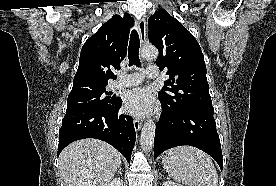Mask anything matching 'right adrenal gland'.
I'll return each mask as SVG.
<instances>
[{"mask_svg":"<svg viewBox=\"0 0 276 186\" xmlns=\"http://www.w3.org/2000/svg\"><path fill=\"white\" fill-rule=\"evenodd\" d=\"M117 174L122 175V172H121V166L119 167Z\"/></svg>","mask_w":276,"mask_h":186,"instance_id":"obj_1","label":"right adrenal gland"}]
</instances>
